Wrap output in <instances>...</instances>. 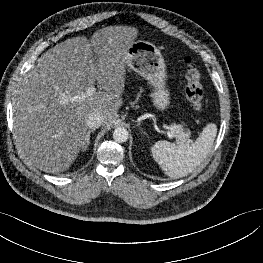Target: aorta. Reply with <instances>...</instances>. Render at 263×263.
<instances>
[{
  "mask_svg": "<svg viewBox=\"0 0 263 263\" xmlns=\"http://www.w3.org/2000/svg\"><path fill=\"white\" fill-rule=\"evenodd\" d=\"M128 137H129V132L126 128L124 127L115 128L113 132V139L116 142H119V143L126 142L128 140Z\"/></svg>",
  "mask_w": 263,
  "mask_h": 263,
  "instance_id": "aorta-1",
  "label": "aorta"
}]
</instances>
